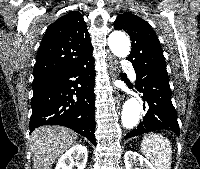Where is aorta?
Here are the masks:
<instances>
[{"label": "aorta", "mask_w": 200, "mask_h": 169, "mask_svg": "<svg viewBox=\"0 0 200 169\" xmlns=\"http://www.w3.org/2000/svg\"><path fill=\"white\" fill-rule=\"evenodd\" d=\"M108 45L112 53L125 58L129 55L131 46L129 38L122 32H113L108 38ZM141 105L136 98H129L123 104L121 122L126 129H133L139 122Z\"/></svg>", "instance_id": "762f6f07"}]
</instances>
